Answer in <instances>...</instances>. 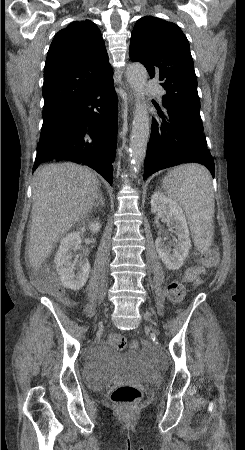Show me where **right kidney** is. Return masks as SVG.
<instances>
[{"label": "right kidney", "instance_id": "obj_1", "mask_svg": "<svg viewBox=\"0 0 245 450\" xmlns=\"http://www.w3.org/2000/svg\"><path fill=\"white\" fill-rule=\"evenodd\" d=\"M88 227L92 233H97L101 225L98 221H94L89 223ZM85 231L84 226L80 228V231L67 234L61 240L54 259L62 285L71 290H80L87 282L90 273L89 261L74 254L81 244V234Z\"/></svg>", "mask_w": 245, "mask_h": 450}]
</instances>
